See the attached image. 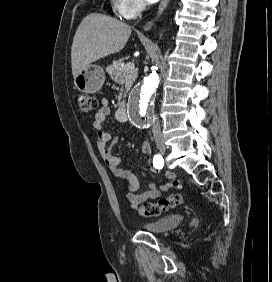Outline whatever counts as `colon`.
Here are the masks:
<instances>
[{"label": "colon", "instance_id": "1", "mask_svg": "<svg viewBox=\"0 0 272 282\" xmlns=\"http://www.w3.org/2000/svg\"><path fill=\"white\" fill-rule=\"evenodd\" d=\"M77 105L81 112L90 113L96 107V100L85 93H79L76 97ZM173 186L181 187L180 180H173ZM181 204V197L178 194H173L168 197L158 199L156 202H144L139 207V213L142 216H158L170 209H173Z\"/></svg>", "mask_w": 272, "mask_h": 282}]
</instances>
